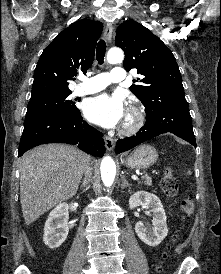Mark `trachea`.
Listing matches in <instances>:
<instances>
[{"label":"trachea","instance_id":"obj_1","mask_svg":"<svg viewBox=\"0 0 221 274\" xmlns=\"http://www.w3.org/2000/svg\"><path fill=\"white\" fill-rule=\"evenodd\" d=\"M105 53H106V43L104 40H100L96 48V58L99 64H103Z\"/></svg>","mask_w":221,"mask_h":274}]
</instances>
